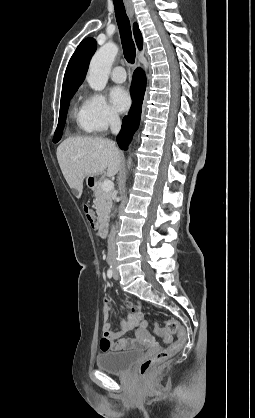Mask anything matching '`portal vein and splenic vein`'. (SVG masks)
Listing matches in <instances>:
<instances>
[{
    "instance_id": "1",
    "label": "portal vein and splenic vein",
    "mask_w": 255,
    "mask_h": 418,
    "mask_svg": "<svg viewBox=\"0 0 255 418\" xmlns=\"http://www.w3.org/2000/svg\"><path fill=\"white\" fill-rule=\"evenodd\" d=\"M114 188V183L111 180H105L102 184V189L106 192L111 191Z\"/></svg>"
}]
</instances>
